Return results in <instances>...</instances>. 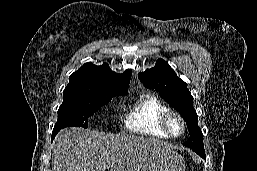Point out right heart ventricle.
<instances>
[{"mask_svg":"<svg viewBox=\"0 0 257 171\" xmlns=\"http://www.w3.org/2000/svg\"><path fill=\"white\" fill-rule=\"evenodd\" d=\"M168 106L155 94L141 95L127 110L124 124L127 130L143 135L170 138L162 127V117Z\"/></svg>","mask_w":257,"mask_h":171,"instance_id":"1","label":"right heart ventricle"}]
</instances>
